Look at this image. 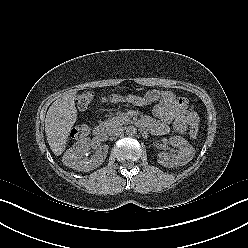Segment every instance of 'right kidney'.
Here are the masks:
<instances>
[{"label":"right kidney","mask_w":248,"mask_h":248,"mask_svg":"<svg viewBox=\"0 0 248 248\" xmlns=\"http://www.w3.org/2000/svg\"><path fill=\"white\" fill-rule=\"evenodd\" d=\"M95 143L89 138L81 139L69 148L63 155L64 165L78 171H90L99 167L106 159L108 146L98 147L91 158L83 157L84 154L94 147Z\"/></svg>","instance_id":"right-kidney-1"}]
</instances>
